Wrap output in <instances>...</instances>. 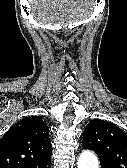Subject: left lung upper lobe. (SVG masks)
Segmentation results:
<instances>
[{"instance_id": "5c2ea615", "label": "left lung upper lobe", "mask_w": 127, "mask_h": 168, "mask_svg": "<svg viewBox=\"0 0 127 168\" xmlns=\"http://www.w3.org/2000/svg\"><path fill=\"white\" fill-rule=\"evenodd\" d=\"M82 145L95 151L106 168H127V135L112 122L92 120L83 132Z\"/></svg>"}]
</instances>
